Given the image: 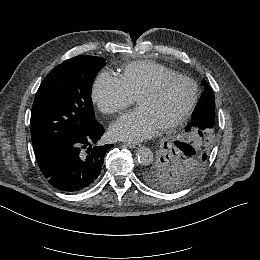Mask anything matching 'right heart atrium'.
I'll return each instance as SVG.
<instances>
[{
    "label": "right heart atrium",
    "instance_id": "1",
    "mask_svg": "<svg viewBox=\"0 0 260 260\" xmlns=\"http://www.w3.org/2000/svg\"><path fill=\"white\" fill-rule=\"evenodd\" d=\"M92 98L105 115L117 114L133 101L122 81L108 71L101 72L97 76L92 89Z\"/></svg>",
    "mask_w": 260,
    "mask_h": 260
}]
</instances>
